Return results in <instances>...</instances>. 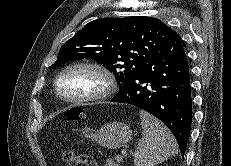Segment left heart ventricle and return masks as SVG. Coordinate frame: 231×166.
<instances>
[{"label":"left heart ventricle","instance_id":"1","mask_svg":"<svg viewBox=\"0 0 231 166\" xmlns=\"http://www.w3.org/2000/svg\"><path fill=\"white\" fill-rule=\"evenodd\" d=\"M102 86L101 77L88 69H74L59 81V89L66 97H79L96 92Z\"/></svg>","mask_w":231,"mask_h":166}]
</instances>
